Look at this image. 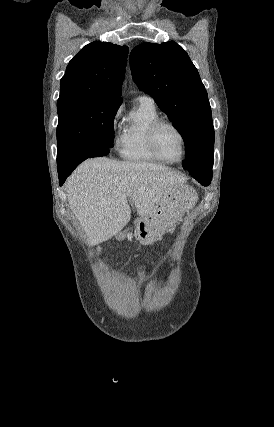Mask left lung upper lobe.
<instances>
[{
  "label": "left lung upper lobe",
  "instance_id": "1",
  "mask_svg": "<svg viewBox=\"0 0 274 427\" xmlns=\"http://www.w3.org/2000/svg\"><path fill=\"white\" fill-rule=\"evenodd\" d=\"M132 76L181 134L189 173L212 175L214 128L206 89L187 52L175 42L142 43L130 54Z\"/></svg>",
  "mask_w": 274,
  "mask_h": 427
}]
</instances>
